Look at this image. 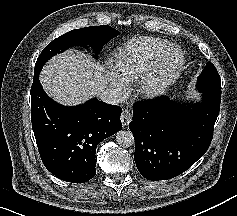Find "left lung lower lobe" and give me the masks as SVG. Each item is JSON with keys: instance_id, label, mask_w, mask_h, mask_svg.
<instances>
[{"instance_id": "0a47b994", "label": "left lung lower lobe", "mask_w": 237, "mask_h": 216, "mask_svg": "<svg viewBox=\"0 0 237 216\" xmlns=\"http://www.w3.org/2000/svg\"><path fill=\"white\" fill-rule=\"evenodd\" d=\"M220 101L221 96L204 94L192 110L166 96L135 103L129 129L141 175L152 181L171 179L199 160L212 141Z\"/></svg>"}]
</instances>
